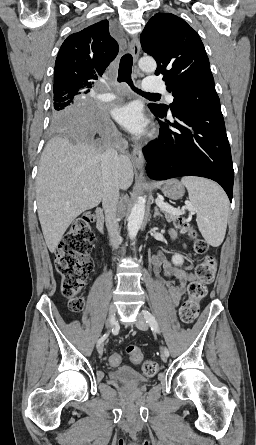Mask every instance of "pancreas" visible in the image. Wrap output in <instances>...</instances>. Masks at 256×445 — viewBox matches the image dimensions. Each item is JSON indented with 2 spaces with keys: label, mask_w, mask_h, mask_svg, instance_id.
Returning a JSON list of instances; mask_svg holds the SVG:
<instances>
[{
  "label": "pancreas",
  "mask_w": 256,
  "mask_h": 445,
  "mask_svg": "<svg viewBox=\"0 0 256 445\" xmlns=\"http://www.w3.org/2000/svg\"><path fill=\"white\" fill-rule=\"evenodd\" d=\"M164 214H165V218H166V220H167L168 222H171V221L176 220V218H177V216H178V215L171 214V213H169V212H167V211H164Z\"/></svg>",
  "instance_id": "1"
}]
</instances>
